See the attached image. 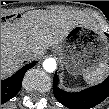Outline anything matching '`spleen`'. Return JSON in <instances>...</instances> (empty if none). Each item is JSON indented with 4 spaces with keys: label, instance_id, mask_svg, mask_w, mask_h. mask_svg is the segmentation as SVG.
<instances>
[{
    "label": "spleen",
    "instance_id": "3e777b00",
    "mask_svg": "<svg viewBox=\"0 0 109 109\" xmlns=\"http://www.w3.org/2000/svg\"><path fill=\"white\" fill-rule=\"evenodd\" d=\"M109 73L108 62L101 63L96 69L83 74V79L88 84H96L103 81Z\"/></svg>",
    "mask_w": 109,
    "mask_h": 109
}]
</instances>
